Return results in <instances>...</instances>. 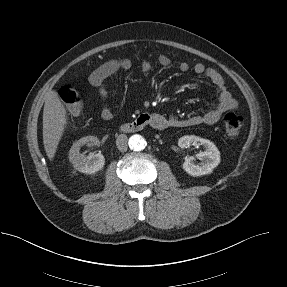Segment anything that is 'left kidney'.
<instances>
[{
	"instance_id": "obj_1",
	"label": "left kidney",
	"mask_w": 287,
	"mask_h": 287,
	"mask_svg": "<svg viewBox=\"0 0 287 287\" xmlns=\"http://www.w3.org/2000/svg\"><path fill=\"white\" fill-rule=\"evenodd\" d=\"M190 144L196 146L203 145L205 151L197 154V157L202 160L199 164L194 162V157L186 158L183 163L184 171L194 177L210 174L220 163V152L218 148L209 140L194 135L183 136L178 141V145L181 148H187Z\"/></svg>"
}]
</instances>
